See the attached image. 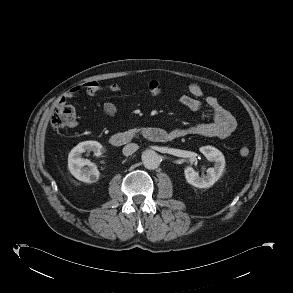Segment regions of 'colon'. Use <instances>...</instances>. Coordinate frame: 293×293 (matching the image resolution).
Wrapping results in <instances>:
<instances>
[{
  "label": "colon",
  "mask_w": 293,
  "mask_h": 293,
  "mask_svg": "<svg viewBox=\"0 0 293 293\" xmlns=\"http://www.w3.org/2000/svg\"><path fill=\"white\" fill-rule=\"evenodd\" d=\"M75 121V110L72 106L59 102L55 108L52 116V126L55 129H63L70 126ZM241 157H248L250 155V150L247 147H242L239 150Z\"/></svg>",
  "instance_id": "1"
}]
</instances>
